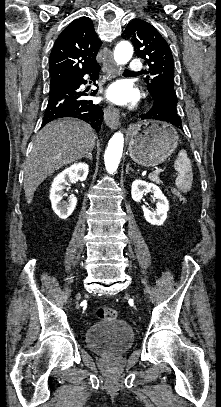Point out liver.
<instances>
[{
  "instance_id": "liver-1",
  "label": "liver",
  "mask_w": 221,
  "mask_h": 407,
  "mask_svg": "<svg viewBox=\"0 0 221 407\" xmlns=\"http://www.w3.org/2000/svg\"><path fill=\"white\" fill-rule=\"evenodd\" d=\"M92 127L76 119L52 121L36 135L24 166V192L30 204L37 187L58 170L92 152L95 146Z\"/></svg>"
}]
</instances>
